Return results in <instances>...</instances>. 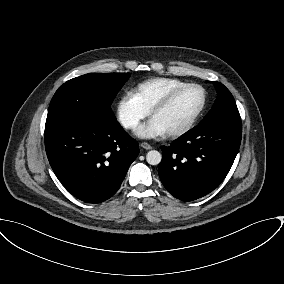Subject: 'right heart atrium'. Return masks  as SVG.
Segmentation results:
<instances>
[{
	"label": "right heart atrium",
	"instance_id": "d8ad5b80",
	"mask_svg": "<svg viewBox=\"0 0 284 284\" xmlns=\"http://www.w3.org/2000/svg\"><path fill=\"white\" fill-rule=\"evenodd\" d=\"M149 115V111L138 101L132 92L123 94L116 105V116L126 129H134Z\"/></svg>",
	"mask_w": 284,
	"mask_h": 284
}]
</instances>
